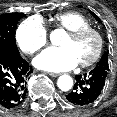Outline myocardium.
Instances as JSON below:
<instances>
[{
	"label": "myocardium",
	"mask_w": 117,
	"mask_h": 117,
	"mask_svg": "<svg viewBox=\"0 0 117 117\" xmlns=\"http://www.w3.org/2000/svg\"><path fill=\"white\" fill-rule=\"evenodd\" d=\"M88 34H92L95 36V38L97 40V46H96L94 53L92 54V56L90 58L79 62V65L81 67H89L99 60V58L102 55L103 49H104L103 35L99 30H97L93 27H90V26L76 29L73 31H68V36H70L73 39H80Z\"/></svg>",
	"instance_id": "f54148a6"
}]
</instances>
